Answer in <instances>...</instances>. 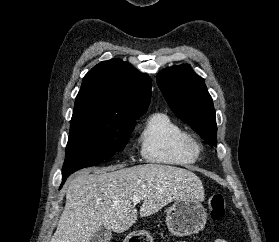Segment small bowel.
Instances as JSON below:
<instances>
[{
  "mask_svg": "<svg viewBox=\"0 0 279 242\" xmlns=\"http://www.w3.org/2000/svg\"><path fill=\"white\" fill-rule=\"evenodd\" d=\"M183 242H185V241H183ZM214 242H228V241L225 239H222V238H218Z\"/></svg>",
  "mask_w": 279,
  "mask_h": 242,
  "instance_id": "1",
  "label": "small bowel"
}]
</instances>
